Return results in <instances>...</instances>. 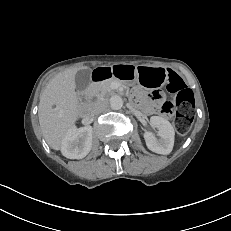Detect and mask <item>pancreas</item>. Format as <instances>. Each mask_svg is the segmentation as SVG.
Wrapping results in <instances>:
<instances>
[{
  "mask_svg": "<svg viewBox=\"0 0 231 231\" xmlns=\"http://www.w3.org/2000/svg\"><path fill=\"white\" fill-rule=\"evenodd\" d=\"M111 84H112V81H107V82H104L103 84H101L100 92L105 93V92L109 91L111 89Z\"/></svg>",
  "mask_w": 231,
  "mask_h": 231,
  "instance_id": "obj_1",
  "label": "pancreas"
}]
</instances>
